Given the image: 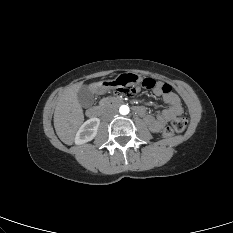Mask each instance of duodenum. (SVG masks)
Returning a JSON list of instances; mask_svg holds the SVG:
<instances>
[{"instance_id": "1", "label": "duodenum", "mask_w": 233, "mask_h": 233, "mask_svg": "<svg viewBox=\"0 0 233 233\" xmlns=\"http://www.w3.org/2000/svg\"><path fill=\"white\" fill-rule=\"evenodd\" d=\"M120 104H122V99L111 98V99H108L107 101H105L101 105L93 106V107L89 108L87 111V115L90 118H98L106 108L113 106V105H120Z\"/></svg>"}]
</instances>
